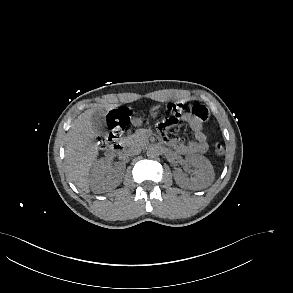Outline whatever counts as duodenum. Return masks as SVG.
<instances>
[{
    "label": "duodenum",
    "instance_id": "obj_1",
    "mask_svg": "<svg viewBox=\"0 0 293 293\" xmlns=\"http://www.w3.org/2000/svg\"><path fill=\"white\" fill-rule=\"evenodd\" d=\"M127 146V139L125 137L121 138L117 144L107 151V154L111 157H118L124 154Z\"/></svg>",
    "mask_w": 293,
    "mask_h": 293
}]
</instances>
